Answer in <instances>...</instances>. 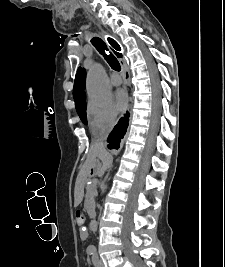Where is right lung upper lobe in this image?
Listing matches in <instances>:
<instances>
[{
    "label": "right lung upper lobe",
    "instance_id": "obj_1",
    "mask_svg": "<svg viewBox=\"0 0 225 267\" xmlns=\"http://www.w3.org/2000/svg\"><path fill=\"white\" fill-rule=\"evenodd\" d=\"M85 78H86L85 69L78 68L75 76L74 89H73L76 108L79 107L83 101H86V95L84 92Z\"/></svg>",
    "mask_w": 225,
    "mask_h": 267
}]
</instances>
